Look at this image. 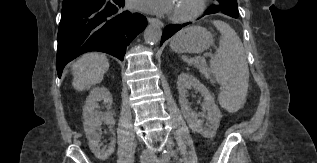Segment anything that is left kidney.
<instances>
[{"instance_id": "obj_1", "label": "left kidney", "mask_w": 317, "mask_h": 163, "mask_svg": "<svg viewBox=\"0 0 317 163\" xmlns=\"http://www.w3.org/2000/svg\"><path fill=\"white\" fill-rule=\"evenodd\" d=\"M179 103L181 111L186 119L190 129L201 134L205 138H213L220 125L222 114L219 107L215 104L214 97L211 92L189 73H181L177 81ZM194 88L204 97L202 107L207 115L202 114L208 121V125L204 126V121L198 118V115L192 111L187 100V90Z\"/></svg>"}]
</instances>
